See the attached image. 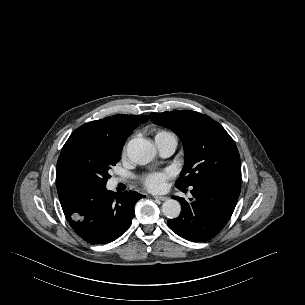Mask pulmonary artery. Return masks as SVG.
I'll return each mask as SVG.
<instances>
[{"instance_id": "e3ab8cb5", "label": "pulmonary artery", "mask_w": 305, "mask_h": 305, "mask_svg": "<svg viewBox=\"0 0 305 305\" xmlns=\"http://www.w3.org/2000/svg\"><path fill=\"white\" fill-rule=\"evenodd\" d=\"M155 142L160 155L163 157L171 156L177 147V140L174 135L155 138ZM117 181L118 180H115V182Z\"/></svg>"}]
</instances>
